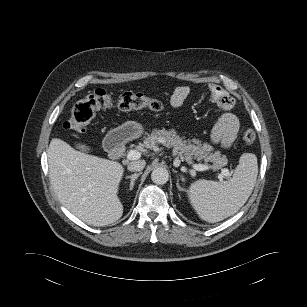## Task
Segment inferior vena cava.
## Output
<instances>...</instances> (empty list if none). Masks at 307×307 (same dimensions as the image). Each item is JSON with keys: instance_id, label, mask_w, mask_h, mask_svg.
I'll return each mask as SVG.
<instances>
[{"instance_id": "inferior-vena-cava-1", "label": "inferior vena cava", "mask_w": 307, "mask_h": 307, "mask_svg": "<svg viewBox=\"0 0 307 307\" xmlns=\"http://www.w3.org/2000/svg\"><path fill=\"white\" fill-rule=\"evenodd\" d=\"M146 165L145 160L132 161L128 164L129 171H142Z\"/></svg>"}]
</instances>
